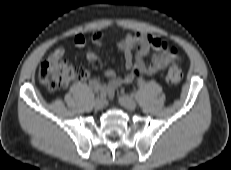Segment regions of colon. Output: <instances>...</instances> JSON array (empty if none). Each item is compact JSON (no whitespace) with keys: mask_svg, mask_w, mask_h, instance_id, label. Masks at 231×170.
Instances as JSON below:
<instances>
[{"mask_svg":"<svg viewBox=\"0 0 231 170\" xmlns=\"http://www.w3.org/2000/svg\"><path fill=\"white\" fill-rule=\"evenodd\" d=\"M170 53L176 56L177 49L172 48ZM86 77L87 73L84 69L72 67L62 61L56 63L45 61L40 66L38 73L39 81L51 93L65 88L73 80H83ZM181 80L182 68L179 61L175 60L167 71L166 81L170 85H178Z\"/></svg>","mask_w":231,"mask_h":170,"instance_id":"colon-1","label":"colon"}]
</instances>
